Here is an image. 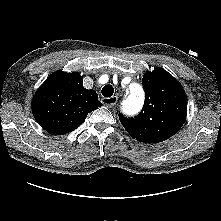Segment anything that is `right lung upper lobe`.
<instances>
[{
  "instance_id": "right-lung-upper-lobe-1",
  "label": "right lung upper lobe",
  "mask_w": 221,
  "mask_h": 221,
  "mask_svg": "<svg viewBox=\"0 0 221 221\" xmlns=\"http://www.w3.org/2000/svg\"><path fill=\"white\" fill-rule=\"evenodd\" d=\"M102 106L94 90L83 87L77 73L57 71L40 86L32 100V112L50 134L62 135L79 127L87 114Z\"/></svg>"
}]
</instances>
